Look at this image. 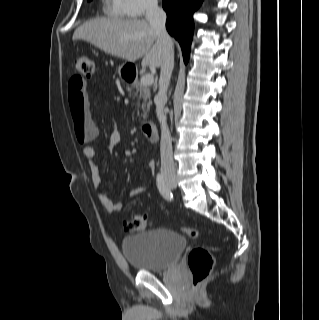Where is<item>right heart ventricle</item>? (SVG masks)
<instances>
[{
	"label": "right heart ventricle",
	"instance_id": "obj_1",
	"mask_svg": "<svg viewBox=\"0 0 319 320\" xmlns=\"http://www.w3.org/2000/svg\"><path fill=\"white\" fill-rule=\"evenodd\" d=\"M104 8L106 13L113 17H121L124 14L118 0H104Z\"/></svg>",
	"mask_w": 319,
	"mask_h": 320
}]
</instances>
